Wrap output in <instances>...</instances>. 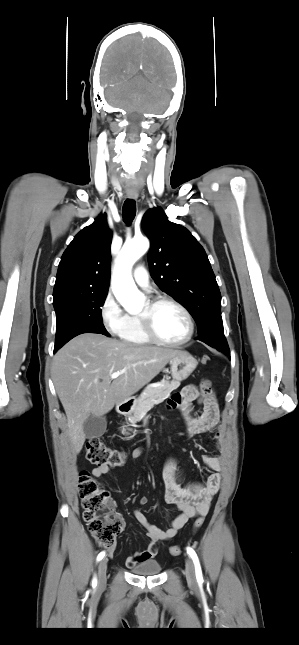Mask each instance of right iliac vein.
Segmentation results:
<instances>
[{
	"label": "right iliac vein",
	"instance_id": "1",
	"mask_svg": "<svg viewBox=\"0 0 299 645\" xmlns=\"http://www.w3.org/2000/svg\"><path fill=\"white\" fill-rule=\"evenodd\" d=\"M106 572H107V559L104 558L99 563L98 567V585L103 587L106 584Z\"/></svg>",
	"mask_w": 299,
	"mask_h": 645
}]
</instances>
